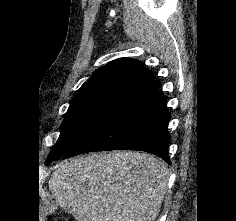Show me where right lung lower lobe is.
I'll use <instances>...</instances> for the list:
<instances>
[{
    "label": "right lung lower lobe",
    "mask_w": 236,
    "mask_h": 221,
    "mask_svg": "<svg viewBox=\"0 0 236 221\" xmlns=\"http://www.w3.org/2000/svg\"><path fill=\"white\" fill-rule=\"evenodd\" d=\"M160 81L136 93L100 123L64 159L104 150H139L153 153L169 163L170 114L166 97L159 93Z\"/></svg>",
    "instance_id": "98d812e1"
}]
</instances>
